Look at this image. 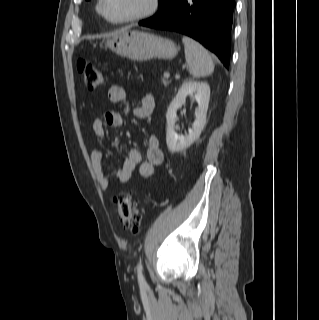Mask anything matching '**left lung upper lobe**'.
Segmentation results:
<instances>
[{
	"mask_svg": "<svg viewBox=\"0 0 319 320\" xmlns=\"http://www.w3.org/2000/svg\"><path fill=\"white\" fill-rule=\"evenodd\" d=\"M164 0H159L160 4L163 2Z\"/></svg>",
	"mask_w": 319,
	"mask_h": 320,
	"instance_id": "1",
	"label": "left lung upper lobe"
}]
</instances>
